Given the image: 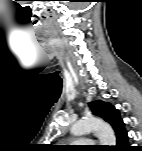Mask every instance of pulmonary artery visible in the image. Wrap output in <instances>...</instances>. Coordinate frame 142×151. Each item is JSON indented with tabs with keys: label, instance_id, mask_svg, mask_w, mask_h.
<instances>
[{
	"label": "pulmonary artery",
	"instance_id": "1",
	"mask_svg": "<svg viewBox=\"0 0 142 151\" xmlns=\"http://www.w3.org/2000/svg\"><path fill=\"white\" fill-rule=\"evenodd\" d=\"M92 141L91 140H88V139H78L76 141L73 142V144H91Z\"/></svg>",
	"mask_w": 142,
	"mask_h": 151
}]
</instances>
